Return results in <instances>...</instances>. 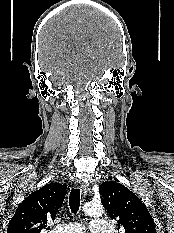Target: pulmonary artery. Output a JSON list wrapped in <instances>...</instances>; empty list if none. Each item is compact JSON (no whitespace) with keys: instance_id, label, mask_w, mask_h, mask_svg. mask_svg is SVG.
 I'll use <instances>...</instances> for the list:
<instances>
[{"instance_id":"1","label":"pulmonary artery","mask_w":174,"mask_h":233,"mask_svg":"<svg viewBox=\"0 0 174 233\" xmlns=\"http://www.w3.org/2000/svg\"><path fill=\"white\" fill-rule=\"evenodd\" d=\"M85 228L81 223H68L57 226L50 233H84ZM92 233H110L111 225L107 220L94 219L90 223Z\"/></svg>"}]
</instances>
